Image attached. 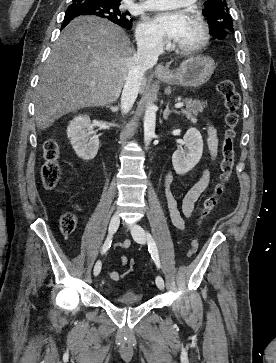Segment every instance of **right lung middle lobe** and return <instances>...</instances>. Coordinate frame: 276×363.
Returning <instances> with one entry per match:
<instances>
[{
    "instance_id": "1",
    "label": "right lung middle lobe",
    "mask_w": 276,
    "mask_h": 363,
    "mask_svg": "<svg viewBox=\"0 0 276 363\" xmlns=\"http://www.w3.org/2000/svg\"><path fill=\"white\" fill-rule=\"evenodd\" d=\"M120 3L102 1V0H73L72 4L66 10V14L76 12H85L89 15H95L106 18L120 26L130 27L129 13L119 11Z\"/></svg>"
}]
</instances>
